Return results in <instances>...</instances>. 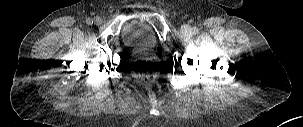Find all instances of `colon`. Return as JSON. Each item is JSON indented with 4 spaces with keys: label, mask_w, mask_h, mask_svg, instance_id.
<instances>
[{
    "label": "colon",
    "mask_w": 303,
    "mask_h": 127,
    "mask_svg": "<svg viewBox=\"0 0 303 127\" xmlns=\"http://www.w3.org/2000/svg\"><path fill=\"white\" fill-rule=\"evenodd\" d=\"M138 72H139V77L143 81L148 82L151 80V78L154 77L155 67L153 64L150 63H141L138 66Z\"/></svg>",
    "instance_id": "1"
}]
</instances>
